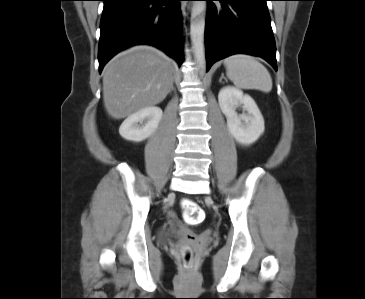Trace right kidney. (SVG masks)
I'll list each match as a JSON object with an SVG mask.
<instances>
[{"label":"right kidney","instance_id":"right-kidney-1","mask_svg":"<svg viewBox=\"0 0 365 299\" xmlns=\"http://www.w3.org/2000/svg\"><path fill=\"white\" fill-rule=\"evenodd\" d=\"M162 114V110L156 106L143 108L124 120L119 133L126 140L141 142L155 133Z\"/></svg>","mask_w":365,"mask_h":299}]
</instances>
